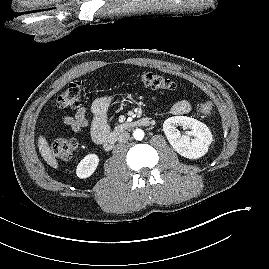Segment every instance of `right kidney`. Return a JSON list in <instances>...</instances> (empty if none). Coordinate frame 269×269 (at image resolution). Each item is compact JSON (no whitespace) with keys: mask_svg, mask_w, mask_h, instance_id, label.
Listing matches in <instances>:
<instances>
[{"mask_svg":"<svg viewBox=\"0 0 269 269\" xmlns=\"http://www.w3.org/2000/svg\"><path fill=\"white\" fill-rule=\"evenodd\" d=\"M99 158L96 154L86 155L78 164L76 174L79 178L85 179L90 177L96 170Z\"/></svg>","mask_w":269,"mask_h":269,"instance_id":"1","label":"right kidney"}]
</instances>
